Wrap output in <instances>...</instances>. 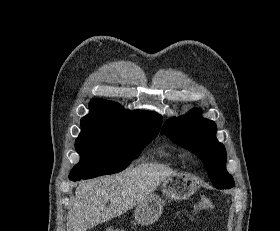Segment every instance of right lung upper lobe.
Listing matches in <instances>:
<instances>
[{
	"instance_id": "right-lung-upper-lobe-1",
	"label": "right lung upper lobe",
	"mask_w": 280,
	"mask_h": 231,
	"mask_svg": "<svg viewBox=\"0 0 280 231\" xmlns=\"http://www.w3.org/2000/svg\"><path fill=\"white\" fill-rule=\"evenodd\" d=\"M94 118L118 119L141 126L158 129H160V125L162 123L161 116L154 112L149 113L142 111H126L118 103L99 98L93 99L90 102V112L81 120Z\"/></svg>"
}]
</instances>
